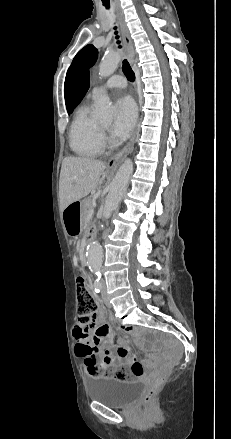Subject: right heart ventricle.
I'll return each mask as SVG.
<instances>
[{
    "label": "right heart ventricle",
    "mask_w": 231,
    "mask_h": 439,
    "mask_svg": "<svg viewBox=\"0 0 231 439\" xmlns=\"http://www.w3.org/2000/svg\"><path fill=\"white\" fill-rule=\"evenodd\" d=\"M71 150L79 157L93 158L102 150L101 129L89 107L81 105L75 112L69 132Z\"/></svg>",
    "instance_id": "obj_1"
}]
</instances>
